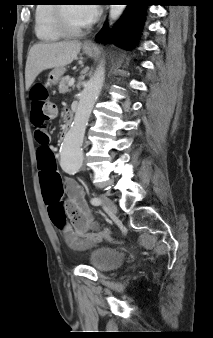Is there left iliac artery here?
I'll use <instances>...</instances> for the list:
<instances>
[{"instance_id": "1", "label": "left iliac artery", "mask_w": 213, "mask_h": 338, "mask_svg": "<svg viewBox=\"0 0 213 338\" xmlns=\"http://www.w3.org/2000/svg\"><path fill=\"white\" fill-rule=\"evenodd\" d=\"M91 204L92 205H95V206H98L101 204V199L100 198H97V197H94L90 200Z\"/></svg>"}]
</instances>
